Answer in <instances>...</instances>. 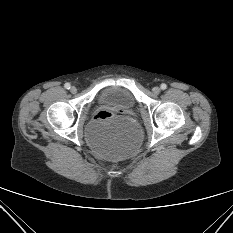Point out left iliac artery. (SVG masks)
I'll use <instances>...</instances> for the list:
<instances>
[{
  "instance_id": "1",
  "label": "left iliac artery",
  "mask_w": 233,
  "mask_h": 233,
  "mask_svg": "<svg viewBox=\"0 0 233 233\" xmlns=\"http://www.w3.org/2000/svg\"><path fill=\"white\" fill-rule=\"evenodd\" d=\"M160 87H161L162 90H165L167 88V85L165 83H163V84H161Z\"/></svg>"
}]
</instances>
